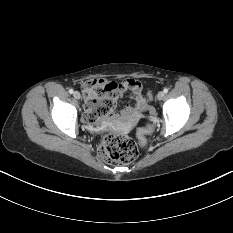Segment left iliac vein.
Returning <instances> with one entry per match:
<instances>
[{
  "label": "left iliac vein",
  "instance_id": "1",
  "mask_svg": "<svg viewBox=\"0 0 233 233\" xmlns=\"http://www.w3.org/2000/svg\"><path fill=\"white\" fill-rule=\"evenodd\" d=\"M165 94L163 91H160L158 94H157V99L158 100H162L164 98Z\"/></svg>",
  "mask_w": 233,
  "mask_h": 233
}]
</instances>
